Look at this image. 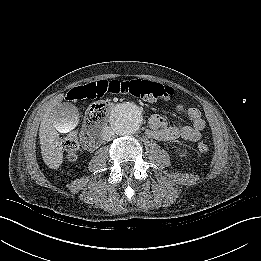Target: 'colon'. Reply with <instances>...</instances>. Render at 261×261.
<instances>
[{"label":"colon","mask_w":261,"mask_h":261,"mask_svg":"<svg viewBox=\"0 0 261 261\" xmlns=\"http://www.w3.org/2000/svg\"><path fill=\"white\" fill-rule=\"evenodd\" d=\"M106 95H131L150 102H164L174 95V89L169 86L143 80H101L88 83L83 86L73 88L68 93V99H100ZM110 104L106 101H98L89 106L85 116V124L88 128H96L103 124L108 117ZM83 145L85 147L92 146V143L83 137ZM81 142L76 132L69 134L63 141V149L66 157L70 161H75L78 157V151ZM210 143L206 139H202L198 143L200 152H207Z\"/></svg>","instance_id":"5ec220e1"}]
</instances>
